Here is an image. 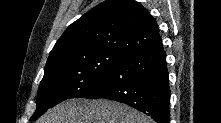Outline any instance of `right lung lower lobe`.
I'll return each mask as SVG.
<instances>
[{
  "label": "right lung lower lobe",
  "instance_id": "1",
  "mask_svg": "<svg viewBox=\"0 0 221 123\" xmlns=\"http://www.w3.org/2000/svg\"><path fill=\"white\" fill-rule=\"evenodd\" d=\"M86 98H106L125 103L149 115L157 123H168L170 88L162 45L128 54Z\"/></svg>",
  "mask_w": 221,
  "mask_h": 123
}]
</instances>
